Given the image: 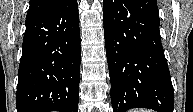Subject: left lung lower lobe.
I'll list each match as a JSON object with an SVG mask.
<instances>
[{"label": "left lung lower lobe", "mask_w": 193, "mask_h": 112, "mask_svg": "<svg viewBox=\"0 0 193 112\" xmlns=\"http://www.w3.org/2000/svg\"><path fill=\"white\" fill-rule=\"evenodd\" d=\"M103 21L113 112H173L174 92L156 0H104Z\"/></svg>", "instance_id": "left-lung-lower-lobe-1"}]
</instances>
